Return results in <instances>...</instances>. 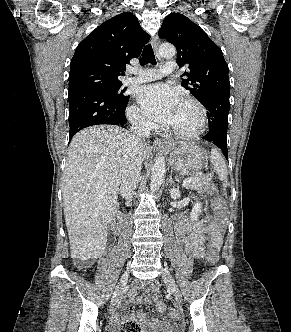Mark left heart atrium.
Segmentation results:
<instances>
[{
    "mask_svg": "<svg viewBox=\"0 0 291 332\" xmlns=\"http://www.w3.org/2000/svg\"><path fill=\"white\" fill-rule=\"evenodd\" d=\"M137 100L150 119L164 124L171 123L180 103L178 91L164 83L141 87L137 92Z\"/></svg>",
    "mask_w": 291,
    "mask_h": 332,
    "instance_id": "obj_1",
    "label": "left heart atrium"
}]
</instances>
